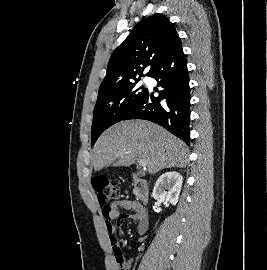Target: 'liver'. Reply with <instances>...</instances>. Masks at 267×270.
<instances>
[{
  "label": "liver",
  "mask_w": 267,
  "mask_h": 270,
  "mask_svg": "<svg viewBox=\"0 0 267 270\" xmlns=\"http://www.w3.org/2000/svg\"><path fill=\"white\" fill-rule=\"evenodd\" d=\"M187 145L162 127L145 120H127L108 128L93 149L92 165L99 171L112 163L131 166L143 160L149 173L165 168H184Z\"/></svg>",
  "instance_id": "liver-1"
}]
</instances>
